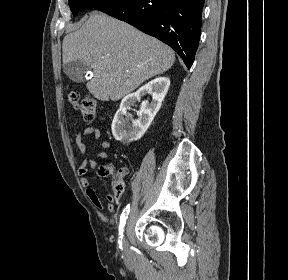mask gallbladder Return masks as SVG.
I'll list each match as a JSON object with an SVG mask.
<instances>
[{
  "instance_id": "obj_1",
  "label": "gallbladder",
  "mask_w": 288,
  "mask_h": 280,
  "mask_svg": "<svg viewBox=\"0 0 288 280\" xmlns=\"http://www.w3.org/2000/svg\"><path fill=\"white\" fill-rule=\"evenodd\" d=\"M89 67L84 61H70L63 65L64 73L74 82L81 83L85 81V73Z\"/></svg>"
}]
</instances>
